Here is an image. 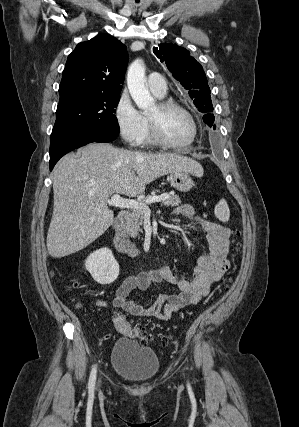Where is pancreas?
Segmentation results:
<instances>
[{
  "label": "pancreas",
  "instance_id": "obj_1",
  "mask_svg": "<svg viewBox=\"0 0 299 427\" xmlns=\"http://www.w3.org/2000/svg\"><path fill=\"white\" fill-rule=\"evenodd\" d=\"M152 196H148L146 199L141 202L148 205L146 201ZM165 206H178L181 204V200L178 195H175L173 192L169 194V198L163 201ZM145 217V212L142 209H133L130 219L127 221L125 226V232L129 237L136 238L140 236L142 232L141 226L143 225Z\"/></svg>",
  "mask_w": 299,
  "mask_h": 427
}]
</instances>
